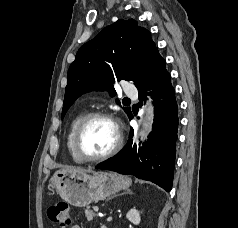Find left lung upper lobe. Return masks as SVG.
Listing matches in <instances>:
<instances>
[{"label":"left lung upper lobe","instance_id":"1","mask_svg":"<svg viewBox=\"0 0 238 228\" xmlns=\"http://www.w3.org/2000/svg\"><path fill=\"white\" fill-rule=\"evenodd\" d=\"M156 49L151 33L133 19H119L105 27L78 50L69 67L62 118L84 93L107 90L113 97V84L122 79L137 86L143 78L141 66ZM123 109L128 116L131 114L130 108Z\"/></svg>","mask_w":238,"mask_h":228}]
</instances>
